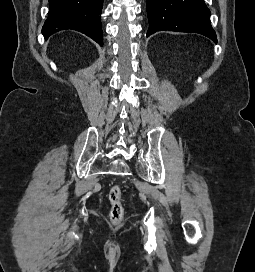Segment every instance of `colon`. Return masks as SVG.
<instances>
[{"label": "colon", "instance_id": "colon-1", "mask_svg": "<svg viewBox=\"0 0 255 272\" xmlns=\"http://www.w3.org/2000/svg\"><path fill=\"white\" fill-rule=\"evenodd\" d=\"M109 219L113 224H120L124 219V207L122 203V189L119 185H113L108 193Z\"/></svg>", "mask_w": 255, "mask_h": 272}]
</instances>
